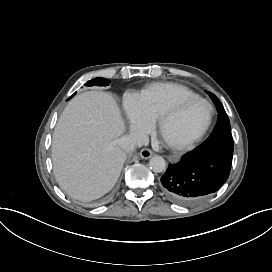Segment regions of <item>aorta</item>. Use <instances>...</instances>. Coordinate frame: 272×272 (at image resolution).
<instances>
[{
	"instance_id": "aorta-1",
	"label": "aorta",
	"mask_w": 272,
	"mask_h": 272,
	"mask_svg": "<svg viewBox=\"0 0 272 272\" xmlns=\"http://www.w3.org/2000/svg\"><path fill=\"white\" fill-rule=\"evenodd\" d=\"M149 166L154 172L161 173L166 169V162L162 156H153L150 158Z\"/></svg>"
}]
</instances>
